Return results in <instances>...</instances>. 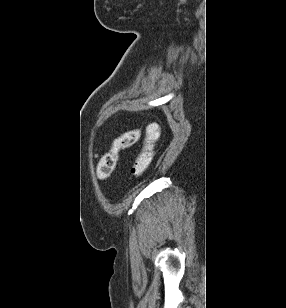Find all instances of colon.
Masks as SVG:
<instances>
[{"label": "colon", "instance_id": "obj_1", "mask_svg": "<svg viewBox=\"0 0 286 308\" xmlns=\"http://www.w3.org/2000/svg\"><path fill=\"white\" fill-rule=\"evenodd\" d=\"M141 137V129H133L124 132L118 136L112 143L111 148L105 153L99 161L97 175L100 179H107L114 171L120 152L126 148L135 145ZM155 141L153 139L145 140L142 148L138 152L131 167V177L140 178L149 167L152 157Z\"/></svg>", "mask_w": 286, "mask_h": 308}]
</instances>
